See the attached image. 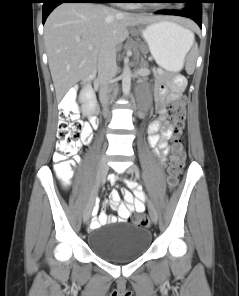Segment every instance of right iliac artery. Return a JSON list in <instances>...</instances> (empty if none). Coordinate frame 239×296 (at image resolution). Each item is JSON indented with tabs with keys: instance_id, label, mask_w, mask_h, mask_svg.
<instances>
[{
	"instance_id": "obj_1",
	"label": "right iliac artery",
	"mask_w": 239,
	"mask_h": 296,
	"mask_svg": "<svg viewBox=\"0 0 239 296\" xmlns=\"http://www.w3.org/2000/svg\"><path fill=\"white\" fill-rule=\"evenodd\" d=\"M92 198L89 196L88 197V202L90 203L92 200H91Z\"/></svg>"
}]
</instances>
